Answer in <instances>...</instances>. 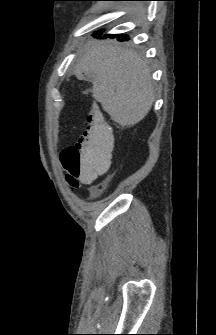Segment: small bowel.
<instances>
[{
  "label": "small bowel",
  "mask_w": 216,
  "mask_h": 335,
  "mask_svg": "<svg viewBox=\"0 0 216 335\" xmlns=\"http://www.w3.org/2000/svg\"><path fill=\"white\" fill-rule=\"evenodd\" d=\"M93 109H96V107L94 106L92 108ZM104 172H102L103 174ZM78 179V184L77 185H74L75 187H78V186H81V185H86V184H89L91 183L95 178H77Z\"/></svg>",
  "instance_id": "small-bowel-1"
}]
</instances>
